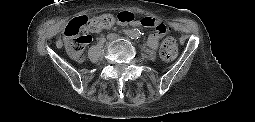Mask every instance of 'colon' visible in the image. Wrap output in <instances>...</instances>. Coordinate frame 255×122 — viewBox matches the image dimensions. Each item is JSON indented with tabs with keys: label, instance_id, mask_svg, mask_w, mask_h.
I'll return each mask as SVG.
<instances>
[{
	"label": "colon",
	"instance_id": "5ec220e1",
	"mask_svg": "<svg viewBox=\"0 0 255 122\" xmlns=\"http://www.w3.org/2000/svg\"><path fill=\"white\" fill-rule=\"evenodd\" d=\"M137 21L136 16L129 12L118 14H102L92 18L79 17L71 21L65 28V48L71 58L81 61L84 58L86 47L92 40V34L109 29L117 23H130ZM141 26L154 28L159 33L171 34V30L163 23L151 17H143L139 21ZM178 46L175 38L167 37L160 48L164 60H173L177 56Z\"/></svg>",
	"mask_w": 255,
	"mask_h": 122
}]
</instances>
